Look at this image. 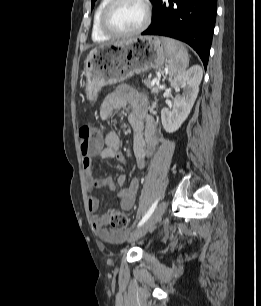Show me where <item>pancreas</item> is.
<instances>
[{"mask_svg": "<svg viewBox=\"0 0 261 306\" xmlns=\"http://www.w3.org/2000/svg\"><path fill=\"white\" fill-rule=\"evenodd\" d=\"M144 84L146 85L147 88L151 89V91H152L153 93H158V92H159V89H160V88H159L158 86L153 87L151 80L146 79V80L144 81Z\"/></svg>", "mask_w": 261, "mask_h": 306, "instance_id": "cf45deb5", "label": "pancreas"}]
</instances>
